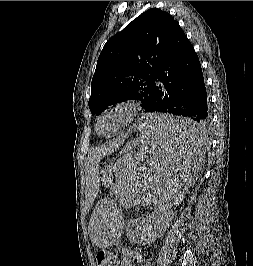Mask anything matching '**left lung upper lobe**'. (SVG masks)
Wrapping results in <instances>:
<instances>
[{"instance_id":"5c2ea615","label":"left lung upper lobe","mask_w":253,"mask_h":266,"mask_svg":"<svg viewBox=\"0 0 253 266\" xmlns=\"http://www.w3.org/2000/svg\"><path fill=\"white\" fill-rule=\"evenodd\" d=\"M177 22L152 8L104 45L91 83L89 108L99 115L108 106L140 100L147 111L153 99L157 63Z\"/></svg>"}]
</instances>
